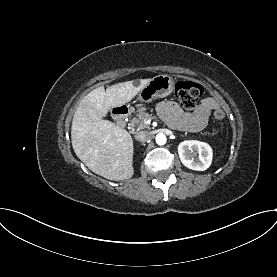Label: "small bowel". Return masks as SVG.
Segmentation results:
<instances>
[{
  "label": "small bowel",
  "mask_w": 277,
  "mask_h": 277,
  "mask_svg": "<svg viewBox=\"0 0 277 277\" xmlns=\"http://www.w3.org/2000/svg\"><path fill=\"white\" fill-rule=\"evenodd\" d=\"M219 103L213 98H205L193 112L185 111L177 102L163 101L158 105V113L171 128L198 132L204 129L213 110Z\"/></svg>",
  "instance_id": "small-bowel-1"
}]
</instances>
